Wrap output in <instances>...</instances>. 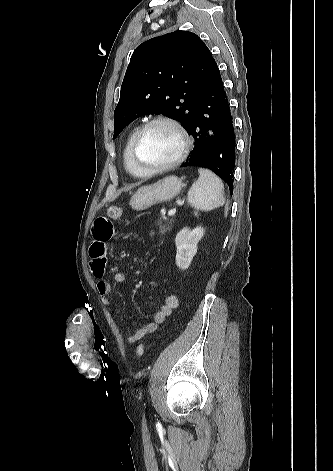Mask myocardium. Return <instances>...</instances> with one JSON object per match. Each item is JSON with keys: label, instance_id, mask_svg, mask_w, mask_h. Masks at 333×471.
Listing matches in <instances>:
<instances>
[{"label": "myocardium", "instance_id": "f54148a6", "mask_svg": "<svg viewBox=\"0 0 333 471\" xmlns=\"http://www.w3.org/2000/svg\"><path fill=\"white\" fill-rule=\"evenodd\" d=\"M167 124L171 126L178 134L181 141V149L179 155L169 163L161 165H146L139 157L140 148L147 131L155 124ZM191 148V139L184 127L175 119L168 116H156L145 122L137 131L131 148V157L135 167L144 175L156 174L171 170L180 165L188 156Z\"/></svg>", "mask_w": 333, "mask_h": 471}]
</instances>
